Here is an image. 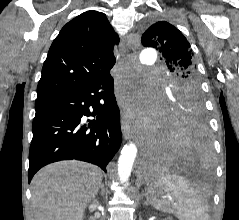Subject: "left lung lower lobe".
I'll return each instance as SVG.
<instances>
[{
    "mask_svg": "<svg viewBox=\"0 0 239 220\" xmlns=\"http://www.w3.org/2000/svg\"><path fill=\"white\" fill-rule=\"evenodd\" d=\"M162 136L147 153L142 169L156 172L183 163H197L209 158L211 142L205 114L192 109L185 112L165 108L161 118Z\"/></svg>",
    "mask_w": 239,
    "mask_h": 220,
    "instance_id": "left-lung-lower-lobe-1",
    "label": "left lung lower lobe"
}]
</instances>
